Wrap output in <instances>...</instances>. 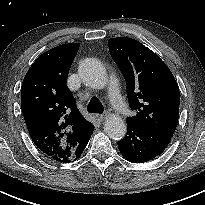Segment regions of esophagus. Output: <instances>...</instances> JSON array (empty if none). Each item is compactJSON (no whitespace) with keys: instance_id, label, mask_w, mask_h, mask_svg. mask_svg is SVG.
Returning <instances> with one entry per match:
<instances>
[{"instance_id":"34e87169","label":"esophagus","mask_w":205,"mask_h":205,"mask_svg":"<svg viewBox=\"0 0 205 205\" xmlns=\"http://www.w3.org/2000/svg\"><path fill=\"white\" fill-rule=\"evenodd\" d=\"M107 116H108L107 113L98 114V115H97V119H98L99 121H103V120H105V118H106Z\"/></svg>"}]
</instances>
